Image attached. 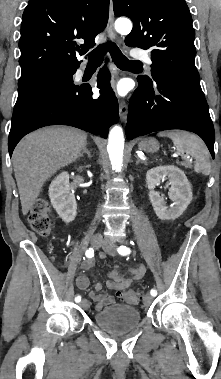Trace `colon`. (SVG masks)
Wrapping results in <instances>:
<instances>
[{
  "label": "colon",
  "mask_w": 221,
  "mask_h": 379,
  "mask_svg": "<svg viewBox=\"0 0 221 379\" xmlns=\"http://www.w3.org/2000/svg\"><path fill=\"white\" fill-rule=\"evenodd\" d=\"M28 222L30 227L39 235H48L52 229L50 205L48 202L44 200L36 201L29 213ZM118 295L130 304H138L142 299V294L134 290L121 291Z\"/></svg>",
  "instance_id": "colon-1"
}]
</instances>
